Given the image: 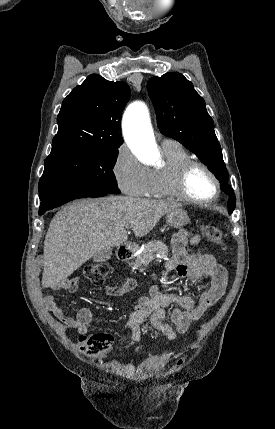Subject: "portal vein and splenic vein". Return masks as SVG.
Returning <instances> with one entry per match:
<instances>
[{
  "mask_svg": "<svg viewBox=\"0 0 275 429\" xmlns=\"http://www.w3.org/2000/svg\"><path fill=\"white\" fill-rule=\"evenodd\" d=\"M130 228H131V227H129V226L127 227V229H130Z\"/></svg>",
  "mask_w": 275,
  "mask_h": 429,
  "instance_id": "portal-vein-and-splenic-vein-1",
  "label": "portal vein and splenic vein"
}]
</instances>
